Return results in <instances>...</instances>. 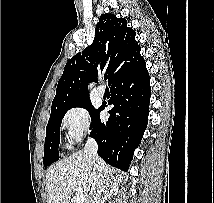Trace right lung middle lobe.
Wrapping results in <instances>:
<instances>
[{"mask_svg":"<svg viewBox=\"0 0 214 203\" xmlns=\"http://www.w3.org/2000/svg\"><path fill=\"white\" fill-rule=\"evenodd\" d=\"M73 107L86 108L91 116L93 126L95 118L98 114V109H94L91 105L89 97L70 103L51 112L47 127L46 138L44 145V167L49 166L59 159L58 146L60 142V126L65 113Z\"/></svg>","mask_w":214,"mask_h":203,"instance_id":"right-lung-middle-lobe-1","label":"right lung middle lobe"}]
</instances>
